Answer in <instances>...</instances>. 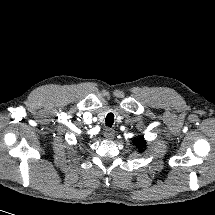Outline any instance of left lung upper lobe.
<instances>
[{
  "instance_id": "left-lung-upper-lobe-1",
  "label": "left lung upper lobe",
  "mask_w": 215,
  "mask_h": 215,
  "mask_svg": "<svg viewBox=\"0 0 215 215\" xmlns=\"http://www.w3.org/2000/svg\"><path fill=\"white\" fill-rule=\"evenodd\" d=\"M134 144L136 145V147H137L140 151H142L143 148L146 146V141H145L143 138H141V139H135V140H134Z\"/></svg>"
}]
</instances>
